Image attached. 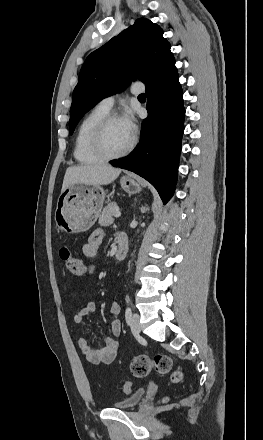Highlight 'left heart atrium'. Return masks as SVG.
<instances>
[{
  "label": "left heart atrium",
  "instance_id": "39dd6f15",
  "mask_svg": "<svg viewBox=\"0 0 263 440\" xmlns=\"http://www.w3.org/2000/svg\"><path fill=\"white\" fill-rule=\"evenodd\" d=\"M121 121L123 123V126L125 127L126 131L131 135L134 134L135 132V122L133 120V118L126 114L121 118Z\"/></svg>",
  "mask_w": 263,
  "mask_h": 440
}]
</instances>
